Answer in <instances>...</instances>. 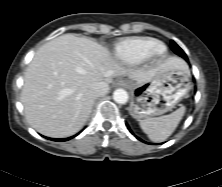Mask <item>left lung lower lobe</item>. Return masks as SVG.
Returning a JSON list of instances; mask_svg holds the SVG:
<instances>
[{
    "instance_id": "0a47b994",
    "label": "left lung lower lobe",
    "mask_w": 222,
    "mask_h": 187,
    "mask_svg": "<svg viewBox=\"0 0 222 187\" xmlns=\"http://www.w3.org/2000/svg\"><path fill=\"white\" fill-rule=\"evenodd\" d=\"M184 59L188 62V58H187V56H185L184 57ZM127 125V124H126ZM127 127H128V129H129V131L133 134V132L130 130V128H129V126L127 125ZM138 140H140V141H143V140H141L140 138H138V137H136ZM144 142V141H143Z\"/></svg>"
}]
</instances>
